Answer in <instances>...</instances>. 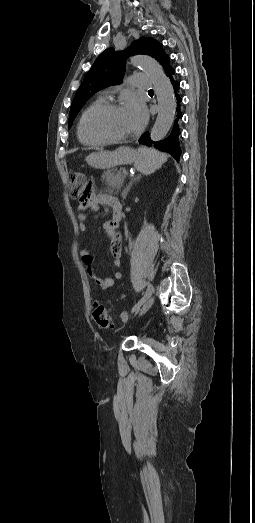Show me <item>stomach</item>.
I'll use <instances>...</instances> for the list:
<instances>
[{
	"label": "stomach",
	"mask_w": 255,
	"mask_h": 523,
	"mask_svg": "<svg viewBox=\"0 0 255 523\" xmlns=\"http://www.w3.org/2000/svg\"><path fill=\"white\" fill-rule=\"evenodd\" d=\"M139 156L138 152H135L132 148H126V146H121L115 152L92 151L89 154L88 165L97 167L98 170H108V168H114V166L132 164Z\"/></svg>",
	"instance_id": "stomach-1"
}]
</instances>
